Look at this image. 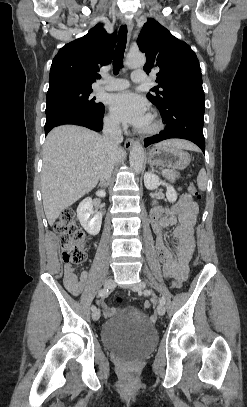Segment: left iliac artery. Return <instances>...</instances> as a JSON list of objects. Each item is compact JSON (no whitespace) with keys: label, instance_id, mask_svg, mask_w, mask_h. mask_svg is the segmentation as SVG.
<instances>
[{"label":"left iliac artery","instance_id":"obj_1","mask_svg":"<svg viewBox=\"0 0 247 407\" xmlns=\"http://www.w3.org/2000/svg\"><path fill=\"white\" fill-rule=\"evenodd\" d=\"M144 294H145V295H150V294H151V290H145V291H144ZM160 304H162V305L165 304V298H164V297H161V299H160Z\"/></svg>","mask_w":247,"mask_h":407}]
</instances>
